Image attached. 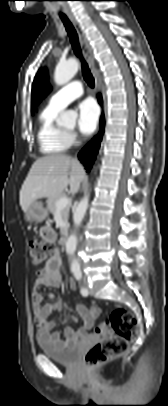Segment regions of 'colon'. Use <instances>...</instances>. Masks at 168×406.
Segmentation results:
<instances>
[{"mask_svg": "<svg viewBox=\"0 0 168 406\" xmlns=\"http://www.w3.org/2000/svg\"><path fill=\"white\" fill-rule=\"evenodd\" d=\"M51 247L38 239L29 242V258L33 265H40L50 257ZM109 328L114 334L109 333ZM105 337L96 342L86 353L84 363L93 368L115 359L125 353L129 343L139 333V324L135 314L127 309H115L109 318L98 326Z\"/></svg>", "mask_w": 168, "mask_h": 406, "instance_id": "obj_1", "label": "colon"}]
</instances>
